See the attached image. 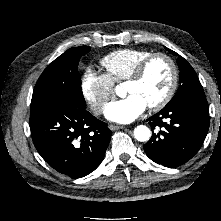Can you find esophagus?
<instances>
[{
	"instance_id": "1",
	"label": "esophagus",
	"mask_w": 221,
	"mask_h": 221,
	"mask_svg": "<svg viewBox=\"0 0 221 221\" xmlns=\"http://www.w3.org/2000/svg\"><path fill=\"white\" fill-rule=\"evenodd\" d=\"M126 128L125 126H122V125H109V129L112 130V131H115V130H118V129H124Z\"/></svg>"
}]
</instances>
